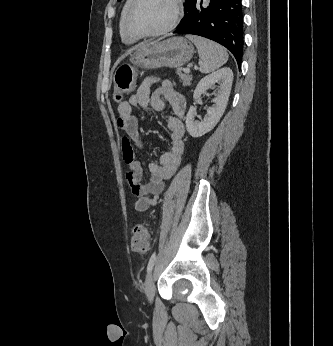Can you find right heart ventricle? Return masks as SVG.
<instances>
[{
	"mask_svg": "<svg viewBox=\"0 0 333 346\" xmlns=\"http://www.w3.org/2000/svg\"><path fill=\"white\" fill-rule=\"evenodd\" d=\"M131 1L132 0L125 1L120 13L119 22H118L119 33H120L122 41L125 43H133L136 40V38L128 36L124 30V18H125L129 5L131 4Z\"/></svg>",
	"mask_w": 333,
	"mask_h": 346,
	"instance_id": "1",
	"label": "right heart ventricle"
}]
</instances>
